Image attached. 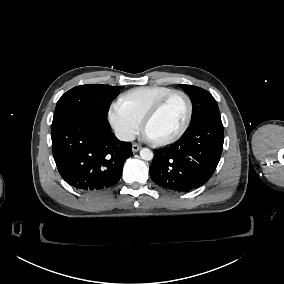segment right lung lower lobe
Returning a JSON list of instances; mask_svg holds the SVG:
<instances>
[{
    "mask_svg": "<svg viewBox=\"0 0 284 284\" xmlns=\"http://www.w3.org/2000/svg\"><path fill=\"white\" fill-rule=\"evenodd\" d=\"M51 136L60 175L87 192L117 184L125 160L133 155L132 144L119 141L106 117L91 111L72 112L53 122Z\"/></svg>",
    "mask_w": 284,
    "mask_h": 284,
    "instance_id": "obj_1",
    "label": "right lung lower lobe"
}]
</instances>
